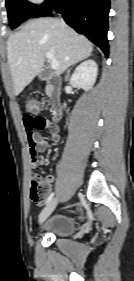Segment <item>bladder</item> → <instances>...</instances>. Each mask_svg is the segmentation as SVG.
Segmentation results:
<instances>
[{
    "label": "bladder",
    "instance_id": "obj_1",
    "mask_svg": "<svg viewBox=\"0 0 134 281\" xmlns=\"http://www.w3.org/2000/svg\"><path fill=\"white\" fill-rule=\"evenodd\" d=\"M45 220L43 222H45ZM76 229V220L67 214H55L50 217L41 228L42 231L51 233L57 237H69L76 232Z\"/></svg>",
    "mask_w": 134,
    "mask_h": 281
}]
</instances>
